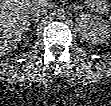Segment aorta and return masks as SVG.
Segmentation results:
<instances>
[{
  "instance_id": "obj_1",
  "label": "aorta",
  "mask_w": 111,
  "mask_h": 106,
  "mask_svg": "<svg viewBox=\"0 0 111 106\" xmlns=\"http://www.w3.org/2000/svg\"><path fill=\"white\" fill-rule=\"evenodd\" d=\"M57 18L60 20H64L66 18V12L62 9H59L57 12Z\"/></svg>"
}]
</instances>
